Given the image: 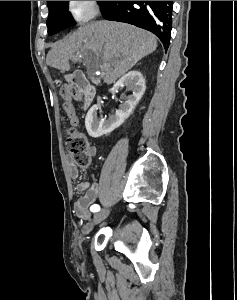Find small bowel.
<instances>
[{
  "label": "small bowel",
  "mask_w": 237,
  "mask_h": 300,
  "mask_svg": "<svg viewBox=\"0 0 237 300\" xmlns=\"http://www.w3.org/2000/svg\"><path fill=\"white\" fill-rule=\"evenodd\" d=\"M79 119L77 117H73L70 119V125L73 127L78 126ZM97 154V150L95 147L89 148V155L91 158L95 157ZM67 168L69 175L72 179H78L80 176V171L78 167L74 164L71 159H67ZM84 179L78 183L77 190L79 192H83V195L80 199L75 203L74 206V214L77 218L81 220H86L90 216V209L95 202L100 198L102 190L104 188H117L118 182L116 180L107 179L106 177H102L99 182L91 180L86 172Z\"/></svg>",
  "instance_id": "obj_1"
}]
</instances>
